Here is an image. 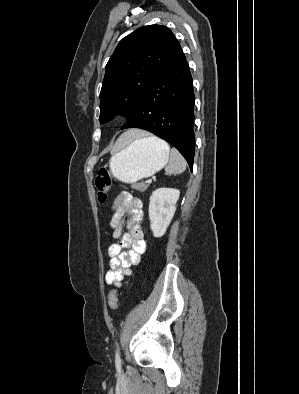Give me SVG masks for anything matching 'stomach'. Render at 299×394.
I'll list each match as a JSON object with an SVG mask.
<instances>
[{
  "label": "stomach",
  "instance_id": "stomach-1",
  "mask_svg": "<svg viewBox=\"0 0 299 394\" xmlns=\"http://www.w3.org/2000/svg\"><path fill=\"white\" fill-rule=\"evenodd\" d=\"M168 161L167 147L140 138L112 156L110 170L119 181L132 184L152 176Z\"/></svg>",
  "mask_w": 299,
  "mask_h": 394
}]
</instances>
